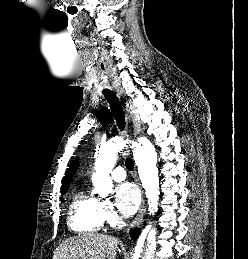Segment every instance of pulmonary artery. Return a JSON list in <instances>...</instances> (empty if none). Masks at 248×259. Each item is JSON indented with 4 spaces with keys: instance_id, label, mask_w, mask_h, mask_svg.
<instances>
[{
    "instance_id": "e3ab8cb5",
    "label": "pulmonary artery",
    "mask_w": 248,
    "mask_h": 259,
    "mask_svg": "<svg viewBox=\"0 0 248 259\" xmlns=\"http://www.w3.org/2000/svg\"><path fill=\"white\" fill-rule=\"evenodd\" d=\"M111 177L113 178V180L115 181H122L125 179L126 177V173L125 170L122 167H116L115 169H113V171L111 172Z\"/></svg>"
}]
</instances>
